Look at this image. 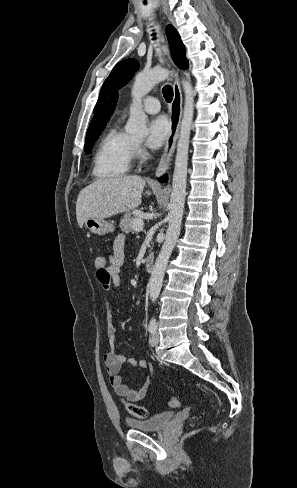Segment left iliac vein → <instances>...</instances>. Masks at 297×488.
Returning <instances> with one entry per match:
<instances>
[{
  "mask_svg": "<svg viewBox=\"0 0 297 488\" xmlns=\"http://www.w3.org/2000/svg\"><path fill=\"white\" fill-rule=\"evenodd\" d=\"M159 340H160V335H159V333H158V332H156V331H155V332H154V333L151 335V337H150V339H149V343H150V345H151L152 347H155V346H157V345H158Z\"/></svg>",
  "mask_w": 297,
  "mask_h": 488,
  "instance_id": "1",
  "label": "left iliac vein"
}]
</instances>
